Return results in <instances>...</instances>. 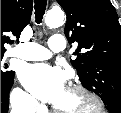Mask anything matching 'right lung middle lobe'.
<instances>
[{
    "mask_svg": "<svg viewBox=\"0 0 121 113\" xmlns=\"http://www.w3.org/2000/svg\"><path fill=\"white\" fill-rule=\"evenodd\" d=\"M3 56H4V52H1V79H6V78H10L14 74V72L13 71H5L7 66L2 64Z\"/></svg>",
    "mask_w": 121,
    "mask_h": 113,
    "instance_id": "1",
    "label": "right lung middle lobe"
}]
</instances>
